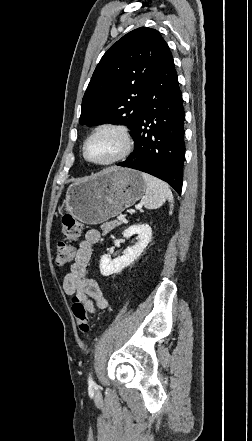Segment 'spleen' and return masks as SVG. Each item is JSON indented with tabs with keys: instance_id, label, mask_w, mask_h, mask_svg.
<instances>
[{
	"instance_id": "spleen-1",
	"label": "spleen",
	"mask_w": 252,
	"mask_h": 441,
	"mask_svg": "<svg viewBox=\"0 0 252 441\" xmlns=\"http://www.w3.org/2000/svg\"><path fill=\"white\" fill-rule=\"evenodd\" d=\"M142 177L146 184V195L143 201L144 207L147 209H157L168 200L170 202L169 213L172 214L173 195L169 186L147 173H142Z\"/></svg>"
}]
</instances>
